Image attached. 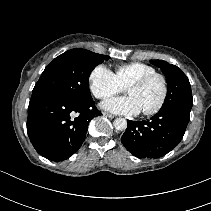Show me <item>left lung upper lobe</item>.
Returning <instances> with one entry per match:
<instances>
[{
  "mask_svg": "<svg viewBox=\"0 0 211 211\" xmlns=\"http://www.w3.org/2000/svg\"><path fill=\"white\" fill-rule=\"evenodd\" d=\"M164 73L167 84V96L161 109L179 107L190 111L193 105L192 91L186 75L177 66L163 60H151Z\"/></svg>",
  "mask_w": 211,
  "mask_h": 211,
  "instance_id": "obj_1",
  "label": "left lung upper lobe"
}]
</instances>
